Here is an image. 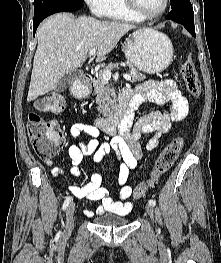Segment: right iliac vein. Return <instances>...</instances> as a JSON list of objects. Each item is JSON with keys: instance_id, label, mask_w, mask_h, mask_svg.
I'll return each instance as SVG.
<instances>
[{"instance_id": "right-iliac-vein-1", "label": "right iliac vein", "mask_w": 221, "mask_h": 263, "mask_svg": "<svg viewBox=\"0 0 221 263\" xmlns=\"http://www.w3.org/2000/svg\"><path fill=\"white\" fill-rule=\"evenodd\" d=\"M74 212H75V203H71L66 211V228L65 232L69 233L74 226Z\"/></svg>"}]
</instances>
